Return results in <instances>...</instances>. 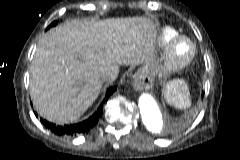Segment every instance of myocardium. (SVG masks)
Segmentation results:
<instances>
[{
  "mask_svg": "<svg viewBox=\"0 0 240 160\" xmlns=\"http://www.w3.org/2000/svg\"><path fill=\"white\" fill-rule=\"evenodd\" d=\"M180 43L188 45V51L184 55L178 52V45ZM196 54L197 46L190 38L186 36H176L166 47L163 63L160 66L161 73L167 75L184 69L192 62Z\"/></svg>",
  "mask_w": 240,
  "mask_h": 160,
  "instance_id": "obj_1",
  "label": "myocardium"
}]
</instances>
